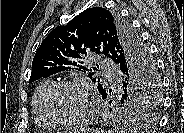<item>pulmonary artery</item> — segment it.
I'll return each mask as SVG.
<instances>
[{
	"label": "pulmonary artery",
	"mask_w": 184,
	"mask_h": 133,
	"mask_svg": "<svg viewBox=\"0 0 184 133\" xmlns=\"http://www.w3.org/2000/svg\"><path fill=\"white\" fill-rule=\"evenodd\" d=\"M100 67L108 78L113 77V74L110 71L113 70L114 65L111 61H109L108 59L102 58L100 60Z\"/></svg>",
	"instance_id": "obj_1"
}]
</instances>
